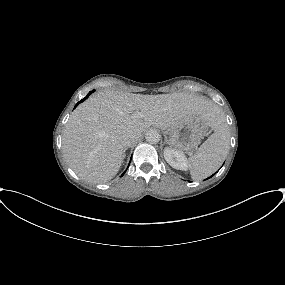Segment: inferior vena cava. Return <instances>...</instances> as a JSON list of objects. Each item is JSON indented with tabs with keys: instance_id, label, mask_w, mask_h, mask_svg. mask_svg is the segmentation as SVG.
<instances>
[{
	"instance_id": "obj_1",
	"label": "inferior vena cava",
	"mask_w": 285,
	"mask_h": 285,
	"mask_svg": "<svg viewBox=\"0 0 285 285\" xmlns=\"http://www.w3.org/2000/svg\"><path fill=\"white\" fill-rule=\"evenodd\" d=\"M139 137L136 134H125L122 137V143L125 147L130 146L133 142H135Z\"/></svg>"
}]
</instances>
